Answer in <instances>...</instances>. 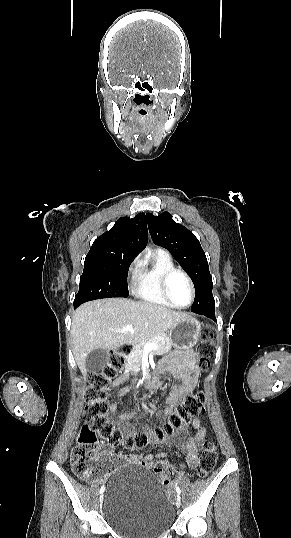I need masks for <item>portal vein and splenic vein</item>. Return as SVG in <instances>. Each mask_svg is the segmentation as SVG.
<instances>
[{
  "instance_id": "obj_1",
  "label": "portal vein and splenic vein",
  "mask_w": 291,
  "mask_h": 538,
  "mask_svg": "<svg viewBox=\"0 0 291 538\" xmlns=\"http://www.w3.org/2000/svg\"><path fill=\"white\" fill-rule=\"evenodd\" d=\"M132 330H133L132 326L125 325L123 328L118 330V332L123 333V332H126V331H132ZM156 348H157V345L155 343H148V344L144 345V350L145 351H150V350L156 349Z\"/></svg>"
}]
</instances>
